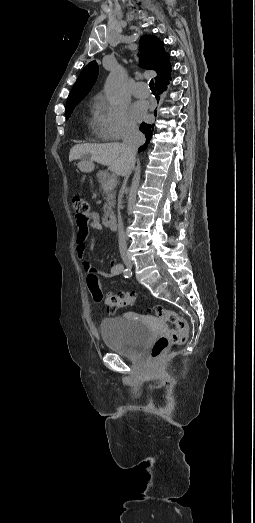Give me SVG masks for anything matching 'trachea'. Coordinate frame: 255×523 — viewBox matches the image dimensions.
Returning <instances> with one entry per match:
<instances>
[{"instance_id":"1","label":"trachea","mask_w":255,"mask_h":523,"mask_svg":"<svg viewBox=\"0 0 255 523\" xmlns=\"http://www.w3.org/2000/svg\"><path fill=\"white\" fill-rule=\"evenodd\" d=\"M149 87H150V90L155 91V86H154L153 80H150Z\"/></svg>"}]
</instances>
